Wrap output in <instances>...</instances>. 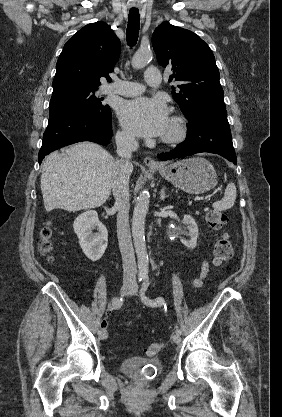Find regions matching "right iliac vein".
<instances>
[{
  "instance_id": "right-iliac-vein-1",
  "label": "right iliac vein",
  "mask_w": 282,
  "mask_h": 417,
  "mask_svg": "<svg viewBox=\"0 0 282 417\" xmlns=\"http://www.w3.org/2000/svg\"><path fill=\"white\" fill-rule=\"evenodd\" d=\"M133 289V285L131 283H124L120 289V294L121 295H126L128 294L131 290ZM99 337L101 339H106L108 337V333L106 330H102L99 333Z\"/></svg>"
}]
</instances>
